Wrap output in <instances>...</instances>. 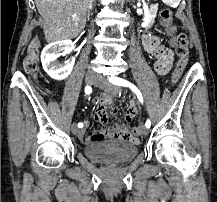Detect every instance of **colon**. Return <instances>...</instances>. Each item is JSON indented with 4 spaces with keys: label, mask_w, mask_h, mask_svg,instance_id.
I'll return each instance as SVG.
<instances>
[{
    "label": "colon",
    "mask_w": 217,
    "mask_h": 202,
    "mask_svg": "<svg viewBox=\"0 0 217 202\" xmlns=\"http://www.w3.org/2000/svg\"><path fill=\"white\" fill-rule=\"evenodd\" d=\"M161 22L165 27L166 33L171 37L172 44L175 52L178 56V62L174 74L172 76V82H177L180 74L185 69L190 50V40L184 33H177L176 27L172 25V12L168 8H162L160 10ZM40 47V40L38 37H33L28 45L26 55L23 60V69L30 77H35L37 74V59ZM132 132H139V127H132Z\"/></svg>",
    "instance_id": "colon-1"
}]
</instances>
